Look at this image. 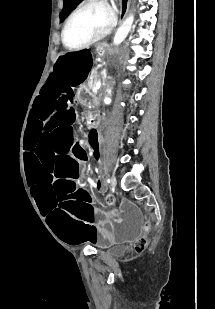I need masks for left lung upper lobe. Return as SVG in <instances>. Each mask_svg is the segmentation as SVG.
<instances>
[{
	"mask_svg": "<svg viewBox=\"0 0 215 309\" xmlns=\"http://www.w3.org/2000/svg\"><path fill=\"white\" fill-rule=\"evenodd\" d=\"M80 0H64V8L61 13V19L63 20L67 14L73 9V7L79 2Z\"/></svg>",
	"mask_w": 215,
	"mask_h": 309,
	"instance_id": "left-lung-upper-lobe-1",
	"label": "left lung upper lobe"
}]
</instances>
